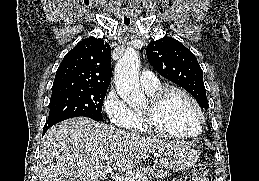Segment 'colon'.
I'll return each mask as SVG.
<instances>
[{
  "mask_svg": "<svg viewBox=\"0 0 259 181\" xmlns=\"http://www.w3.org/2000/svg\"><path fill=\"white\" fill-rule=\"evenodd\" d=\"M189 181H207V170L203 164H197L191 171Z\"/></svg>",
  "mask_w": 259,
  "mask_h": 181,
  "instance_id": "1",
  "label": "colon"
}]
</instances>
